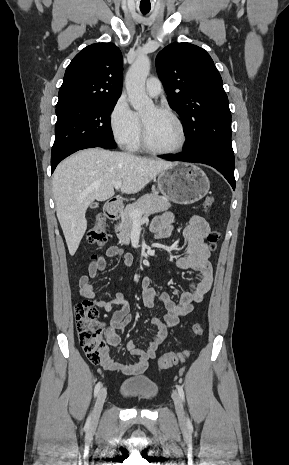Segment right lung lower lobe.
<instances>
[{"mask_svg":"<svg viewBox=\"0 0 289 465\" xmlns=\"http://www.w3.org/2000/svg\"><path fill=\"white\" fill-rule=\"evenodd\" d=\"M93 147H101V146H99L98 144H88V145L82 146L79 150H81V149H86V148H93ZM60 161H61V160L51 163L52 173H53V171L55 170L56 166L58 165V163H59Z\"/></svg>","mask_w":289,"mask_h":465,"instance_id":"1","label":"right lung lower lobe"}]
</instances>
